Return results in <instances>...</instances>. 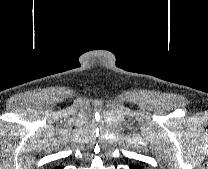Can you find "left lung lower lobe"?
I'll return each mask as SVG.
<instances>
[{
  "label": "left lung lower lobe",
  "instance_id": "0a47b994",
  "mask_svg": "<svg viewBox=\"0 0 208 169\" xmlns=\"http://www.w3.org/2000/svg\"><path fill=\"white\" fill-rule=\"evenodd\" d=\"M130 169H141V167L136 166V165H130Z\"/></svg>",
  "mask_w": 208,
  "mask_h": 169
}]
</instances>
